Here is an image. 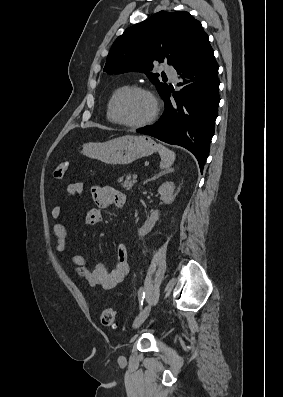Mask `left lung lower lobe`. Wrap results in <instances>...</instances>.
Here are the masks:
<instances>
[{
    "instance_id": "1",
    "label": "left lung lower lobe",
    "mask_w": 283,
    "mask_h": 397,
    "mask_svg": "<svg viewBox=\"0 0 283 397\" xmlns=\"http://www.w3.org/2000/svg\"><path fill=\"white\" fill-rule=\"evenodd\" d=\"M180 75V91L167 89L162 98L165 112L153 125L137 132L153 136L172 145H179L192 152L201 171L209 155L214 135L219 98L218 64L209 44L177 69Z\"/></svg>"
}]
</instances>
